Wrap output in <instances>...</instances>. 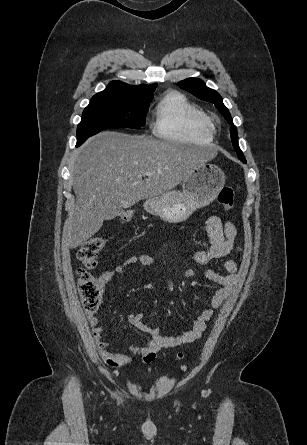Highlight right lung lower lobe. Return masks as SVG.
<instances>
[{"label": "right lung lower lobe", "instance_id": "right-lung-lower-lobe-1", "mask_svg": "<svg viewBox=\"0 0 307 445\" xmlns=\"http://www.w3.org/2000/svg\"><path fill=\"white\" fill-rule=\"evenodd\" d=\"M83 142L82 141H78L77 140V144H76V146L78 147L79 145H81Z\"/></svg>", "mask_w": 307, "mask_h": 445}]
</instances>
